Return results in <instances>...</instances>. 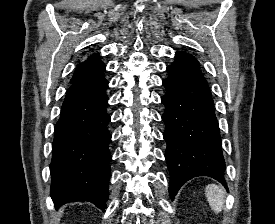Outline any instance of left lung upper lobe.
<instances>
[{"instance_id": "5c2ea615", "label": "left lung upper lobe", "mask_w": 275, "mask_h": 224, "mask_svg": "<svg viewBox=\"0 0 275 224\" xmlns=\"http://www.w3.org/2000/svg\"><path fill=\"white\" fill-rule=\"evenodd\" d=\"M171 70H186V69H199L200 64L195 57L191 54L177 51L175 54V61L167 67Z\"/></svg>"}]
</instances>
